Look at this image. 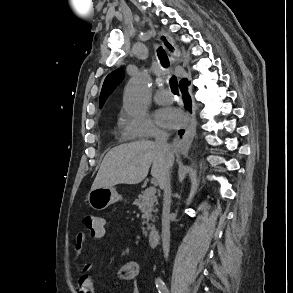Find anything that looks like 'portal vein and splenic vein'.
Segmentation results:
<instances>
[{
    "label": "portal vein and splenic vein",
    "instance_id": "portal-vein-and-splenic-vein-1",
    "mask_svg": "<svg viewBox=\"0 0 293 293\" xmlns=\"http://www.w3.org/2000/svg\"><path fill=\"white\" fill-rule=\"evenodd\" d=\"M155 193H156V188H155V187H149V188L146 190V194H147V196L155 195Z\"/></svg>",
    "mask_w": 293,
    "mask_h": 293
}]
</instances>
